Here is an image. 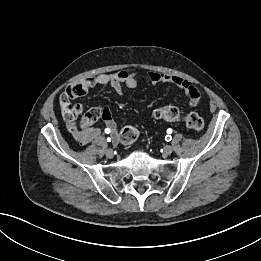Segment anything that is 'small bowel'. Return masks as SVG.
Masks as SVG:
<instances>
[{
	"label": "small bowel",
	"mask_w": 261,
	"mask_h": 261,
	"mask_svg": "<svg viewBox=\"0 0 261 261\" xmlns=\"http://www.w3.org/2000/svg\"><path fill=\"white\" fill-rule=\"evenodd\" d=\"M150 81L153 84L160 83H169L177 86L181 90L185 92L189 99V106L195 107L200 100V92L199 90L189 81L175 76L168 75L160 72H149L148 74ZM84 86V92H88L95 87L109 85L114 91L120 93L122 91V86L125 85L130 89H134L137 87L138 82L136 75L134 73L121 70L112 74H100L94 78L82 81ZM103 113V120L106 125V129H109L112 132V135L116 139V122L111 116V112L107 107H99ZM63 116L67 121L69 128L73 137L81 144H86L101 135V129L98 127H93L92 124L94 122H88L86 117L82 118V128H77L74 120L75 118L68 119L66 114L68 109H62ZM109 132V133H110ZM106 133V131H105Z\"/></svg>",
	"instance_id": "c3829d8e"
}]
</instances>
